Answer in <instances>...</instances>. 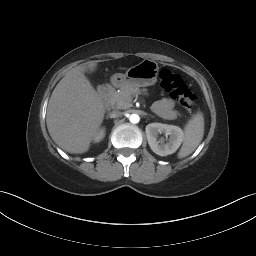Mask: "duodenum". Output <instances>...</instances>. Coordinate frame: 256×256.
I'll return each instance as SVG.
<instances>
[{
    "instance_id": "obj_1",
    "label": "duodenum",
    "mask_w": 256,
    "mask_h": 256,
    "mask_svg": "<svg viewBox=\"0 0 256 256\" xmlns=\"http://www.w3.org/2000/svg\"><path fill=\"white\" fill-rule=\"evenodd\" d=\"M111 90H112L111 85H103L99 88L98 93L103 102L108 101Z\"/></svg>"
}]
</instances>
